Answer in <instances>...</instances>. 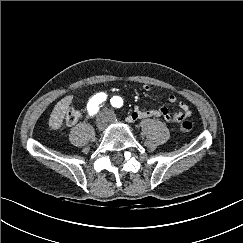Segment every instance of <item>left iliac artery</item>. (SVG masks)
<instances>
[{"instance_id": "obj_1", "label": "left iliac artery", "mask_w": 243, "mask_h": 243, "mask_svg": "<svg viewBox=\"0 0 243 243\" xmlns=\"http://www.w3.org/2000/svg\"><path fill=\"white\" fill-rule=\"evenodd\" d=\"M111 105L115 108H120L122 105H123V101L120 97L118 96H114L112 99H111Z\"/></svg>"}]
</instances>
